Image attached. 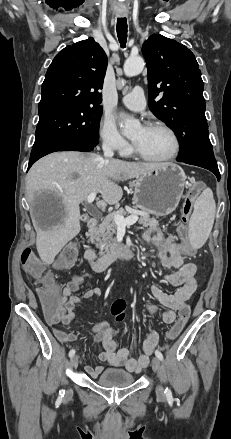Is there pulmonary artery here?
Returning a JSON list of instances; mask_svg holds the SVG:
<instances>
[{"mask_svg": "<svg viewBox=\"0 0 231 439\" xmlns=\"http://www.w3.org/2000/svg\"><path fill=\"white\" fill-rule=\"evenodd\" d=\"M123 104L132 111H142L146 106L143 89L139 86L122 97Z\"/></svg>", "mask_w": 231, "mask_h": 439, "instance_id": "e3ab8cb5", "label": "pulmonary artery"}]
</instances>
